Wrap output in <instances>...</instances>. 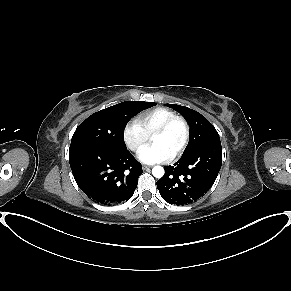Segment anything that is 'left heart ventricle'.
<instances>
[{
    "instance_id": "left-heart-ventricle-1",
    "label": "left heart ventricle",
    "mask_w": 291,
    "mask_h": 291,
    "mask_svg": "<svg viewBox=\"0 0 291 291\" xmlns=\"http://www.w3.org/2000/svg\"><path fill=\"white\" fill-rule=\"evenodd\" d=\"M184 137V130L180 123H176L172 128L164 133L152 137L153 144H160L172 154L177 150Z\"/></svg>"
}]
</instances>
